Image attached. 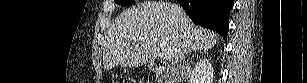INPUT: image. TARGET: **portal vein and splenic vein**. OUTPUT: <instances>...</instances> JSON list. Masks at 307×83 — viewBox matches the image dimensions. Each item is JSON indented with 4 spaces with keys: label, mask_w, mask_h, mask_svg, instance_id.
Here are the masks:
<instances>
[{
    "label": "portal vein and splenic vein",
    "mask_w": 307,
    "mask_h": 83,
    "mask_svg": "<svg viewBox=\"0 0 307 83\" xmlns=\"http://www.w3.org/2000/svg\"><path fill=\"white\" fill-rule=\"evenodd\" d=\"M161 51H162V53H161V56L163 57V59L164 60H171V58H172V52L170 51V50H167V49H165V48H163L162 46H161Z\"/></svg>",
    "instance_id": "obj_1"
}]
</instances>
